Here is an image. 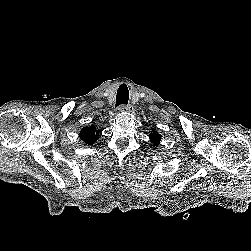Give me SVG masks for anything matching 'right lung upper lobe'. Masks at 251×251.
<instances>
[{
  "instance_id": "cb5924a9",
  "label": "right lung upper lobe",
  "mask_w": 251,
  "mask_h": 251,
  "mask_svg": "<svg viewBox=\"0 0 251 251\" xmlns=\"http://www.w3.org/2000/svg\"><path fill=\"white\" fill-rule=\"evenodd\" d=\"M99 136V132L94 127H84L80 131V138L85 144L93 145Z\"/></svg>"
}]
</instances>
